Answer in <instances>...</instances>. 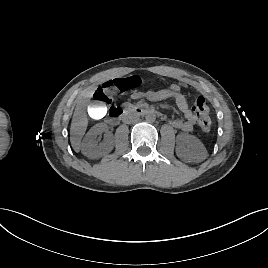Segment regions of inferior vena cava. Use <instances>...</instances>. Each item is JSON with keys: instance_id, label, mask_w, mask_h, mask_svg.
<instances>
[{"instance_id": "1", "label": "inferior vena cava", "mask_w": 268, "mask_h": 268, "mask_svg": "<svg viewBox=\"0 0 268 268\" xmlns=\"http://www.w3.org/2000/svg\"><path fill=\"white\" fill-rule=\"evenodd\" d=\"M139 120V115L135 112H128L123 116V122L126 124L135 123Z\"/></svg>"}]
</instances>
